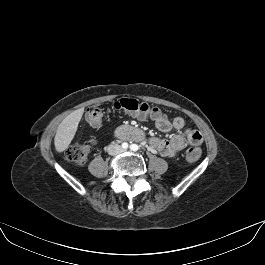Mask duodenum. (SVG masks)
Listing matches in <instances>:
<instances>
[{
    "label": "duodenum",
    "instance_id": "1",
    "mask_svg": "<svg viewBox=\"0 0 265 265\" xmlns=\"http://www.w3.org/2000/svg\"><path fill=\"white\" fill-rule=\"evenodd\" d=\"M116 137L121 141L141 140L142 133L137 128L120 127L116 130Z\"/></svg>",
    "mask_w": 265,
    "mask_h": 265
}]
</instances>
